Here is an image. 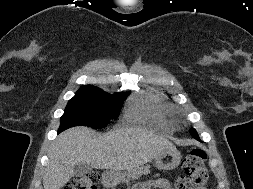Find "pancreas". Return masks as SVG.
<instances>
[{
	"instance_id": "obj_1",
	"label": "pancreas",
	"mask_w": 253,
	"mask_h": 189,
	"mask_svg": "<svg viewBox=\"0 0 253 189\" xmlns=\"http://www.w3.org/2000/svg\"><path fill=\"white\" fill-rule=\"evenodd\" d=\"M149 172V169L144 167L129 168L127 169L126 179L124 181L128 182L129 180L136 179L140 175L148 174Z\"/></svg>"
}]
</instances>
